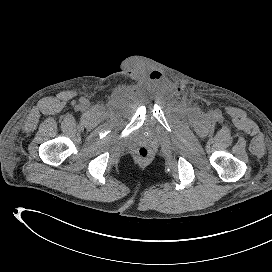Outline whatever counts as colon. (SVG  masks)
Returning <instances> with one entry per match:
<instances>
[{"mask_svg": "<svg viewBox=\"0 0 272 272\" xmlns=\"http://www.w3.org/2000/svg\"><path fill=\"white\" fill-rule=\"evenodd\" d=\"M137 157L140 159V160H146L148 157H149V151L147 148L145 147H141L138 149L137 151Z\"/></svg>", "mask_w": 272, "mask_h": 272, "instance_id": "obj_1", "label": "colon"}]
</instances>
